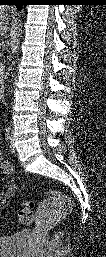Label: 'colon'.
I'll list each match as a JSON object with an SVG mask.
<instances>
[{
	"instance_id": "obj_1",
	"label": "colon",
	"mask_w": 106,
	"mask_h": 257,
	"mask_svg": "<svg viewBox=\"0 0 106 257\" xmlns=\"http://www.w3.org/2000/svg\"><path fill=\"white\" fill-rule=\"evenodd\" d=\"M48 194L50 195V200L46 203L44 207L56 209L60 213L64 214L70 211L72 207V201L70 200V198L56 190H50ZM18 220L22 225H29L34 221V211L32 202L27 203L19 211ZM61 237L62 232H57L54 234L52 241L58 242Z\"/></svg>"
}]
</instances>
